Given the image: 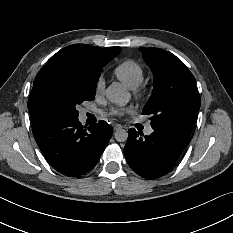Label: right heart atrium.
I'll list each match as a JSON object with an SVG mask.
<instances>
[{
  "mask_svg": "<svg viewBox=\"0 0 233 233\" xmlns=\"http://www.w3.org/2000/svg\"><path fill=\"white\" fill-rule=\"evenodd\" d=\"M105 81L103 78H99L96 83V92L101 93L104 90Z\"/></svg>",
  "mask_w": 233,
  "mask_h": 233,
  "instance_id": "d8ad5b80",
  "label": "right heart atrium"
}]
</instances>
